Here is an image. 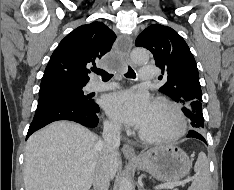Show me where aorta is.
I'll return each mask as SVG.
<instances>
[{
    "label": "aorta",
    "instance_id": "762f6f07",
    "mask_svg": "<svg viewBox=\"0 0 234 190\" xmlns=\"http://www.w3.org/2000/svg\"><path fill=\"white\" fill-rule=\"evenodd\" d=\"M131 58L137 64H144L149 60V52L146 49L136 48L131 52ZM119 190H132V183L127 173L120 179Z\"/></svg>",
    "mask_w": 234,
    "mask_h": 190
}]
</instances>
